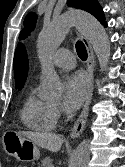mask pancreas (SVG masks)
<instances>
[{
  "instance_id": "cf45deb5",
  "label": "pancreas",
  "mask_w": 125,
  "mask_h": 167,
  "mask_svg": "<svg viewBox=\"0 0 125 167\" xmlns=\"http://www.w3.org/2000/svg\"><path fill=\"white\" fill-rule=\"evenodd\" d=\"M53 159L50 157L45 158L42 161V167H52Z\"/></svg>"
}]
</instances>
